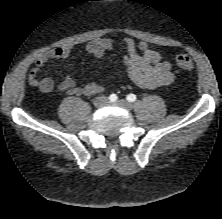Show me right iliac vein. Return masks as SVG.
<instances>
[{"label": "right iliac vein", "instance_id": "obj_1", "mask_svg": "<svg viewBox=\"0 0 222 219\" xmlns=\"http://www.w3.org/2000/svg\"><path fill=\"white\" fill-rule=\"evenodd\" d=\"M105 102V99H99L96 104L97 105H102Z\"/></svg>", "mask_w": 222, "mask_h": 219}]
</instances>
